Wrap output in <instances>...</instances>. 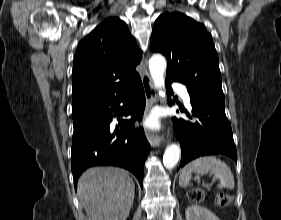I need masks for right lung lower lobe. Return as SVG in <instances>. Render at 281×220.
Here are the masks:
<instances>
[{"mask_svg":"<svg viewBox=\"0 0 281 220\" xmlns=\"http://www.w3.org/2000/svg\"><path fill=\"white\" fill-rule=\"evenodd\" d=\"M122 104V107H121ZM145 109L141 80L131 89L73 117L74 132L71 165L75 189L84 170L92 166L112 165L131 171L142 186L144 162L150 145L142 128H133ZM131 115L121 120V129L114 130V117Z\"/></svg>","mask_w":281,"mask_h":220,"instance_id":"right-lung-lower-lobe-1","label":"right lung lower lobe"}]
</instances>
